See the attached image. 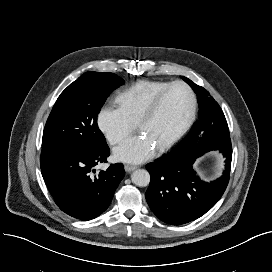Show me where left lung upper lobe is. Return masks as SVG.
Wrapping results in <instances>:
<instances>
[{
	"mask_svg": "<svg viewBox=\"0 0 272 272\" xmlns=\"http://www.w3.org/2000/svg\"><path fill=\"white\" fill-rule=\"evenodd\" d=\"M196 92L199 105V120L182 141L200 147L220 148L231 144L224 113L209 92L190 79L182 77Z\"/></svg>",
	"mask_w": 272,
	"mask_h": 272,
	"instance_id": "1",
	"label": "left lung upper lobe"
}]
</instances>
